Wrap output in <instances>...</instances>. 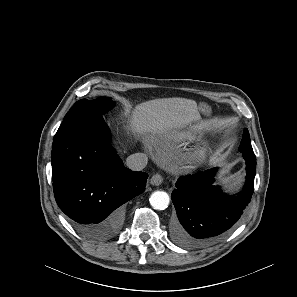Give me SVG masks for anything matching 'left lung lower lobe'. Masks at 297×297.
Wrapping results in <instances>:
<instances>
[{
  "label": "left lung lower lobe",
  "mask_w": 297,
  "mask_h": 297,
  "mask_svg": "<svg viewBox=\"0 0 297 297\" xmlns=\"http://www.w3.org/2000/svg\"><path fill=\"white\" fill-rule=\"evenodd\" d=\"M242 155L246 161V184L236 196H224L213 185L217 168L178 179L171 195L179 219L172 227L175 243L190 248L208 246L239 223L251 200L256 174L255 154Z\"/></svg>",
  "instance_id": "0a47b994"
}]
</instances>
